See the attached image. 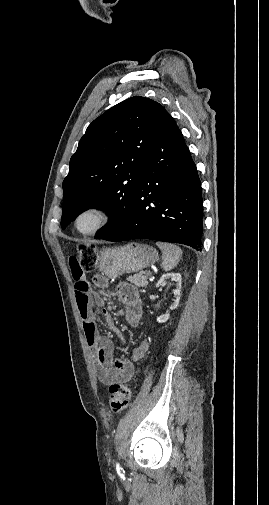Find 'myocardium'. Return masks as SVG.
<instances>
[{
	"mask_svg": "<svg viewBox=\"0 0 269 505\" xmlns=\"http://www.w3.org/2000/svg\"><path fill=\"white\" fill-rule=\"evenodd\" d=\"M95 213L99 217L97 224L87 231H82L78 227V222L86 214ZM114 216L113 209L105 203H90L83 206L73 218V228L75 231L82 236H92L103 230L106 226L110 224Z\"/></svg>",
	"mask_w": 269,
	"mask_h": 505,
	"instance_id": "1",
	"label": "myocardium"
}]
</instances>
